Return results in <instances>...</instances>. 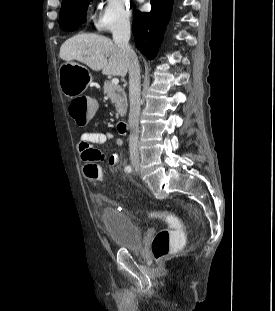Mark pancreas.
I'll return each mask as SVG.
<instances>
[{"instance_id":"1","label":"pancreas","mask_w":275,"mask_h":311,"mask_svg":"<svg viewBox=\"0 0 275 311\" xmlns=\"http://www.w3.org/2000/svg\"><path fill=\"white\" fill-rule=\"evenodd\" d=\"M104 94H106L115 105L117 111L116 116L124 117L128 106L127 95L124 89L118 85L112 84L111 81H105Z\"/></svg>"}]
</instances>
